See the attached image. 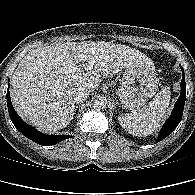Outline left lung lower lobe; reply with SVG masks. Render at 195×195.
Masks as SVG:
<instances>
[{"mask_svg":"<svg viewBox=\"0 0 195 195\" xmlns=\"http://www.w3.org/2000/svg\"><path fill=\"white\" fill-rule=\"evenodd\" d=\"M181 70L183 73V77L181 81V93L174 106L171 116L165 122V124L163 125L160 131V134L158 137L159 141L163 140L168 135H170L173 132V130L178 126V124L180 123L182 119L183 109H184L185 99H186V84H185V74H184V70L182 67H181Z\"/></svg>","mask_w":195,"mask_h":195,"instance_id":"left-lung-lower-lobe-1","label":"left lung lower lobe"}]
</instances>
